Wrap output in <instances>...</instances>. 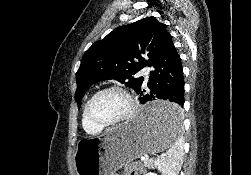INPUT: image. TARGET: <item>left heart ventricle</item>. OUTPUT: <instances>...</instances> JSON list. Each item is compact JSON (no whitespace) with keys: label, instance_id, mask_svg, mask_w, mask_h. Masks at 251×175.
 <instances>
[{"label":"left heart ventricle","instance_id":"b2bd125f","mask_svg":"<svg viewBox=\"0 0 251 175\" xmlns=\"http://www.w3.org/2000/svg\"><path fill=\"white\" fill-rule=\"evenodd\" d=\"M128 109L126 96L118 90H111L97 97L92 107V113L103 122L113 123L123 118Z\"/></svg>","mask_w":251,"mask_h":175}]
</instances>
